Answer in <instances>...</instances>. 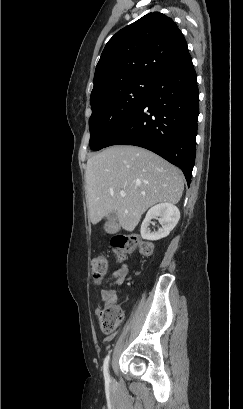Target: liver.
<instances>
[{
    "label": "liver",
    "instance_id": "liver-1",
    "mask_svg": "<svg viewBox=\"0 0 243 409\" xmlns=\"http://www.w3.org/2000/svg\"><path fill=\"white\" fill-rule=\"evenodd\" d=\"M85 182L92 224L116 213L119 225L129 232L149 207L176 204L184 190L179 168L151 151L129 145L111 146L90 157Z\"/></svg>",
    "mask_w": 243,
    "mask_h": 409
}]
</instances>
